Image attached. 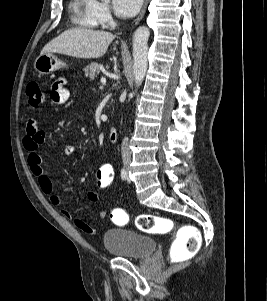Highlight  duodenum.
<instances>
[{
	"label": "duodenum",
	"instance_id": "1",
	"mask_svg": "<svg viewBox=\"0 0 267 301\" xmlns=\"http://www.w3.org/2000/svg\"><path fill=\"white\" fill-rule=\"evenodd\" d=\"M108 138L111 142H115L118 138V130L115 128H111L108 133Z\"/></svg>",
	"mask_w": 267,
	"mask_h": 301
}]
</instances>
